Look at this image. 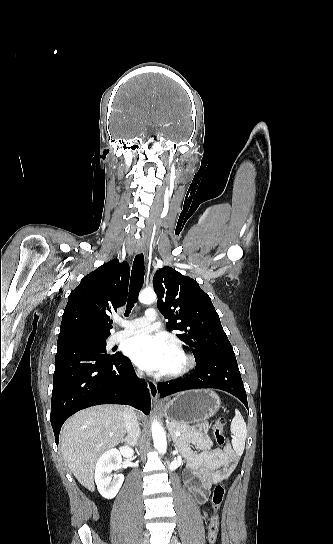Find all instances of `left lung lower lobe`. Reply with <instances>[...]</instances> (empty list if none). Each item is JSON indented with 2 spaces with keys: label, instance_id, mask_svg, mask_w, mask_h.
Masks as SVG:
<instances>
[{
  "label": "left lung lower lobe",
  "instance_id": "left-lung-lower-lobe-1",
  "mask_svg": "<svg viewBox=\"0 0 333 544\" xmlns=\"http://www.w3.org/2000/svg\"><path fill=\"white\" fill-rule=\"evenodd\" d=\"M157 387L161 398L189 389L216 388L239 398L248 409L247 396L235 354L207 355L196 360L193 373L185 380L173 384L159 383Z\"/></svg>",
  "mask_w": 333,
  "mask_h": 544
}]
</instances>
